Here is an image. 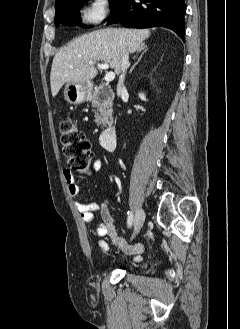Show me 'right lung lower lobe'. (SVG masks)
<instances>
[{
    "label": "right lung lower lobe",
    "mask_w": 240,
    "mask_h": 329,
    "mask_svg": "<svg viewBox=\"0 0 240 329\" xmlns=\"http://www.w3.org/2000/svg\"><path fill=\"white\" fill-rule=\"evenodd\" d=\"M184 0H123L109 17L110 23H121L128 28L162 26L173 30L184 40Z\"/></svg>",
    "instance_id": "right-lung-lower-lobe-1"
}]
</instances>
